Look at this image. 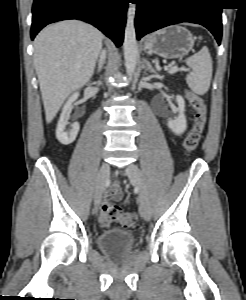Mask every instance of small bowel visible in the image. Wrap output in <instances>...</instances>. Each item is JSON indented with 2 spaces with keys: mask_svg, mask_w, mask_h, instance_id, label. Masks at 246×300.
I'll list each match as a JSON object with an SVG mask.
<instances>
[{
  "mask_svg": "<svg viewBox=\"0 0 246 300\" xmlns=\"http://www.w3.org/2000/svg\"><path fill=\"white\" fill-rule=\"evenodd\" d=\"M123 198V192L118 186H114L109 193L107 194L105 199H115V200H121ZM99 222L103 226H108L111 223V220L108 219L103 212L99 214Z\"/></svg>",
  "mask_w": 246,
  "mask_h": 300,
  "instance_id": "1",
  "label": "small bowel"
}]
</instances>
